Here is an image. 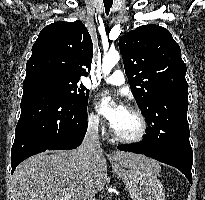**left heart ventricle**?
Masks as SVG:
<instances>
[{"label": "left heart ventricle", "instance_id": "left-heart-ventricle-1", "mask_svg": "<svg viewBox=\"0 0 205 200\" xmlns=\"http://www.w3.org/2000/svg\"><path fill=\"white\" fill-rule=\"evenodd\" d=\"M112 128L116 133L130 137L138 133L140 122L133 112L126 109Z\"/></svg>", "mask_w": 205, "mask_h": 200}]
</instances>
